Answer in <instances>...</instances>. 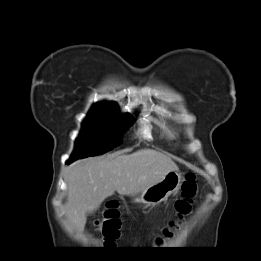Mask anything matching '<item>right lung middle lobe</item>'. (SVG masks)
I'll use <instances>...</instances> for the list:
<instances>
[{
    "label": "right lung middle lobe",
    "mask_w": 261,
    "mask_h": 261,
    "mask_svg": "<svg viewBox=\"0 0 261 261\" xmlns=\"http://www.w3.org/2000/svg\"><path fill=\"white\" fill-rule=\"evenodd\" d=\"M133 124L129 114L120 115L115 103L95 104L82 124L72 159L103 154L121 143L123 133Z\"/></svg>",
    "instance_id": "dd1d6c3e"
}]
</instances>
